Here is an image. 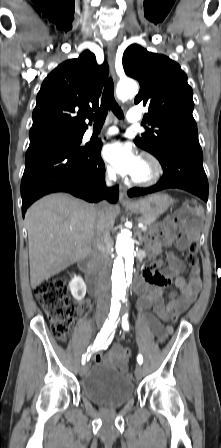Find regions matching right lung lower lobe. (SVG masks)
I'll list each match as a JSON object with an SVG mask.
<instances>
[{
  "label": "right lung lower lobe",
  "mask_w": 221,
  "mask_h": 448,
  "mask_svg": "<svg viewBox=\"0 0 221 448\" xmlns=\"http://www.w3.org/2000/svg\"><path fill=\"white\" fill-rule=\"evenodd\" d=\"M101 146L85 149L71 142H50L28 148L21 182L22 216L40 197L53 192H68L89 202L106 198L115 203L118 187L107 189Z\"/></svg>",
  "instance_id": "obj_1"
}]
</instances>
